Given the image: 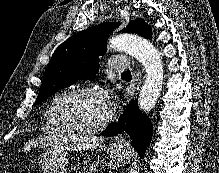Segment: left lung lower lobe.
<instances>
[{
  "instance_id": "1",
  "label": "left lung lower lobe",
  "mask_w": 219,
  "mask_h": 173,
  "mask_svg": "<svg viewBox=\"0 0 219 173\" xmlns=\"http://www.w3.org/2000/svg\"><path fill=\"white\" fill-rule=\"evenodd\" d=\"M117 122L110 124L103 132V136H113L125 131L131 137V145L140 157H143L150 144L153 127L150 119L138 108L137 100H131Z\"/></svg>"
}]
</instances>
